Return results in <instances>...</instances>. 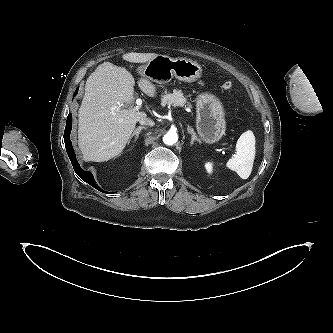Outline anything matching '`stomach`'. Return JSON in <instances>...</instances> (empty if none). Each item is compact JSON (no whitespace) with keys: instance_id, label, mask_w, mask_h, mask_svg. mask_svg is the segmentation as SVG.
Masks as SVG:
<instances>
[{"instance_id":"0dacf381","label":"stomach","mask_w":333,"mask_h":333,"mask_svg":"<svg viewBox=\"0 0 333 333\" xmlns=\"http://www.w3.org/2000/svg\"><path fill=\"white\" fill-rule=\"evenodd\" d=\"M141 76L157 84H166L173 77L179 81L194 82L201 77L202 67L186 58H171L158 54L138 68ZM196 128L201 139L213 144L225 134L226 121L220 100L211 93H201L196 98Z\"/></svg>"}]
</instances>
